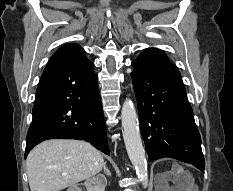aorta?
Masks as SVG:
<instances>
[{
    "label": "aorta",
    "instance_id": "1",
    "mask_svg": "<svg viewBox=\"0 0 233 191\" xmlns=\"http://www.w3.org/2000/svg\"><path fill=\"white\" fill-rule=\"evenodd\" d=\"M121 120L124 143L129 159L136 170L138 178L146 186L148 184L147 161L136 110L131 100H126L123 103Z\"/></svg>",
    "mask_w": 233,
    "mask_h": 191
}]
</instances>
